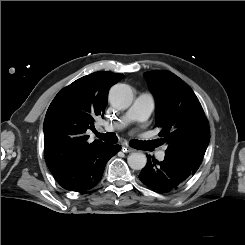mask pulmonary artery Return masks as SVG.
I'll use <instances>...</instances> for the list:
<instances>
[{"mask_svg":"<svg viewBox=\"0 0 245 245\" xmlns=\"http://www.w3.org/2000/svg\"><path fill=\"white\" fill-rule=\"evenodd\" d=\"M153 109H154L153 96L148 92L142 93L134 100L132 106L121 117L119 122H116L114 124H106L105 130L107 131L122 130L132 122L144 123L150 117ZM164 156H165L164 151H159L156 154V157L159 160H163Z\"/></svg>","mask_w":245,"mask_h":245,"instance_id":"1","label":"pulmonary artery"}]
</instances>
